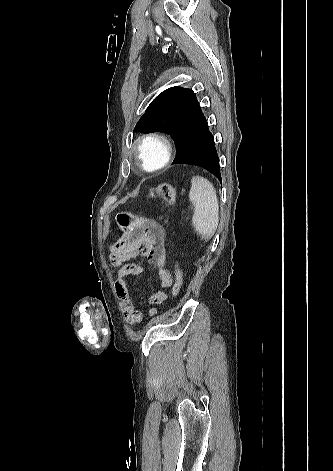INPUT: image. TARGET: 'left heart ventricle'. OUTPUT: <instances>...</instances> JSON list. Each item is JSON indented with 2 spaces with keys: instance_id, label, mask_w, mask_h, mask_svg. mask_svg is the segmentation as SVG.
Wrapping results in <instances>:
<instances>
[{
  "instance_id": "1",
  "label": "left heart ventricle",
  "mask_w": 333,
  "mask_h": 471,
  "mask_svg": "<svg viewBox=\"0 0 333 471\" xmlns=\"http://www.w3.org/2000/svg\"><path fill=\"white\" fill-rule=\"evenodd\" d=\"M162 151L159 146L149 144L144 148V162L147 167H154L161 159Z\"/></svg>"
}]
</instances>
